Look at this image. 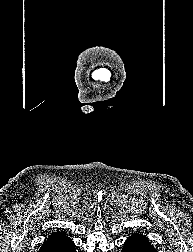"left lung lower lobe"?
Returning a JSON list of instances; mask_svg holds the SVG:
<instances>
[{"label": "left lung lower lobe", "mask_w": 193, "mask_h": 252, "mask_svg": "<svg viewBox=\"0 0 193 252\" xmlns=\"http://www.w3.org/2000/svg\"><path fill=\"white\" fill-rule=\"evenodd\" d=\"M122 252H157L149 240L139 233H134L124 243Z\"/></svg>", "instance_id": "left-lung-lower-lobe-1"}]
</instances>
